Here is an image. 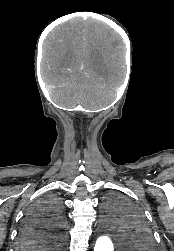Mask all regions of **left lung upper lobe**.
Listing matches in <instances>:
<instances>
[{"label":"left lung upper lobe","instance_id":"obj_1","mask_svg":"<svg viewBox=\"0 0 174 251\" xmlns=\"http://www.w3.org/2000/svg\"><path fill=\"white\" fill-rule=\"evenodd\" d=\"M107 206L112 212L109 215H120L125 220L130 232L129 245L135 251H154V239L150 228L133 206L119 196L109 198Z\"/></svg>","mask_w":174,"mask_h":251}]
</instances>
